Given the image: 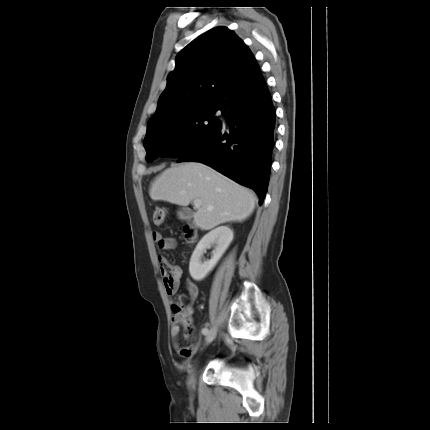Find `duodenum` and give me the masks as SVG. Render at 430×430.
<instances>
[{
  "label": "duodenum",
  "instance_id": "obj_1",
  "mask_svg": "<svg viewBox=\"0 0 430 430\" xmlns=\"http://www.w3.org/2000/svg\"><path fill=\"white\" fill-rule=\"evenodd\" d=\"M183 231L184 236L188 241H194L196 239V229L192 224H186Z\"/></svg>",
  "mask_w": 430,
  "mask_h": 430
}]
</instances>
